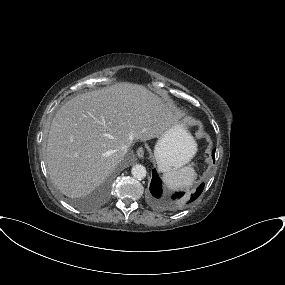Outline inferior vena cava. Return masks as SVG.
I'll list each match as a JSON object with an SVG mask.
<instances>
[{
    "label": "inferior vena cava",
    "mask_w": 285,
    "mask_h": 285,
    "mask_svg": "<svg viewBox=\"0 0 285 285\" xmlns=\"http://www.w3.org/2000/svg\"><path fill=\"white\" fill-rule=\"evenodd\" d=\"M128 147L126 145L122 146L119 150L120 156H124L127 153Z\"/></svg>",
    "instance_id": "obj_1"
}]
</instances>
